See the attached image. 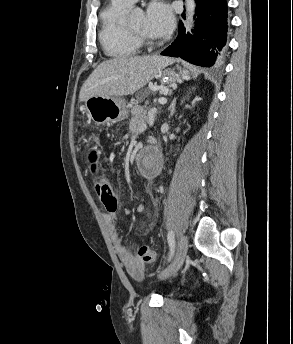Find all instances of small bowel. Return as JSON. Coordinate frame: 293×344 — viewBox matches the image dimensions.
Listing matches in <instances>:
<instances>
[{
  "mask_svg": "<svg viewBox=\"0 0 293 344\" xmlns=\"http://www.w3.org/2000/svg\"><path fill=\"white\" fill-rule=\"evenodd\" d=\"M104 220L109 229L116 253L125 266V268L135 278H141L143 275L144 266L140 259L134 257L124 246L123 238L117 229V213L116 210L109 211L104 215ZM154 226V222L149 224V228Z\"/></svg>",
  "mask_w": 293,
  "mask_h": 344,
  "instance_id": "c3829d8e",
  "label": "small bowel"
}]
</instances>
